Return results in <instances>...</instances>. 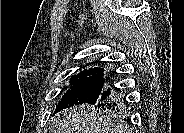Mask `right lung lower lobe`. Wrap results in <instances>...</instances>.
I'll return each instance as SVG.
<instances>
[{
	"label": "right lung lower lobe",
	"instance_id": "obj_1",
	"mask_svg": "<svg viewBox=\"0 0 184 133\" xmlns=\"http://www.w3.org/2000/svg\"><path fill=\"white\" fill-rule=\"evenodd\" d=\"M109 102H113L114 104H121L123 101L120 99V96L118 95L115 87L111 88L106 85L103 91L96 99H94L91 104H108Z\"/></svg>",
	"mask_w": 184,
	"mask_h": 133
}]
</instances>
